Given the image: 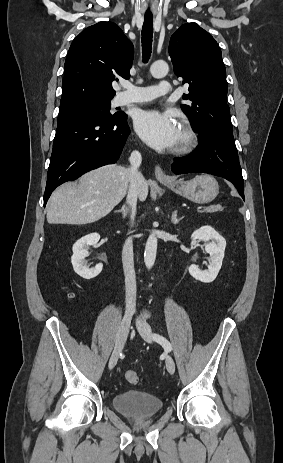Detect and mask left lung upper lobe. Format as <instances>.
I'll return each mask as SVG.
<instances>
[{"instance_id":"5c2ea615","label":"left lung upper lobe","mask_w":283,"mask_h":463,"mask_svg":"<svg viewBox=\"0 0 283 463\" xmlns=\"http://www.w3.org/2000/svg\"><path fill=\"white\" fill-rule=\"evenodd\" d=\"M174 72L189 84L183 95L189 105L182 110L192 120V129L200 136L216 135L235 144L226 102V70L215 39L196 23L183 24L169 44Z\"/></svg>"}]
</instances>
